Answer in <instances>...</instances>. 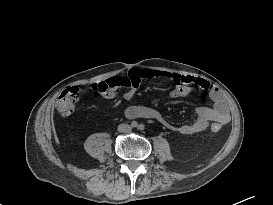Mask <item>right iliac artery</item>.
<instances>
[{
  "instance_id": "1",
  "label": "right iliac artery",
  "mask_w": 273,
  "mask_h": 205,
  "mask_svg": "<svg viewBox=\"0 0 273 205\" xmlns=\"http://www.w3.org/2000/svg\"><path fill=\"white\" fill-rule=\"evenodd\" d=\"M132 127H137V123L136 122H132Z\"/></svg>"
}]
</instances>
